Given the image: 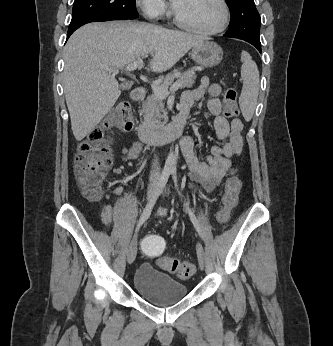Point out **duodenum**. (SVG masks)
<instances>
[{
  "instance_id": "410a0bca",
  "label": "duodenum",
  "mask_w": 333,
  "mask_h": 346,
  "mask_svg": "<svg viewBox=\"0 0 333 346\" xmlns=\"http://www.w3.org/2000/svg\"><path fill=\"white\" fill-rule=\"evenodd\" d=\"M146 90L143 87H136L131 93L134 101L145 98ZM187 117L178 115L172 122L159 129H152L145 125H139L137 135L142 142L157 144L164 143L175 138L181 137L185 132Z\"/></svg>"
}]
</instances>
